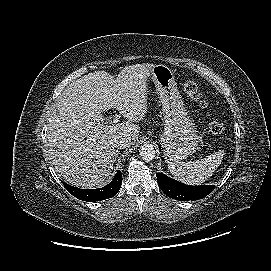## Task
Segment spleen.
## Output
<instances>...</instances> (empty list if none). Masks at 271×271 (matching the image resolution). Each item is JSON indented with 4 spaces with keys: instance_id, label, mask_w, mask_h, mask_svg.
Wrapping results in <instances>:
<instances>
[{
    "instance_id": "3e777b00",
    "label": "spleen",
    "mask_w": 271,
    "mask_h": 271,
    "mask_svg": "<svg viewBox=\"0 0 271 271\" xmlns=\"http://www.w3.org/2000/svg\"><path fill=\"white\" fill-rule=\"evenodd\" d=\"M224 154L223 150H218L201 160L170 162L168 169L177 180L188 185H200L213 175Z\"/></svg>"
}]
</instances>
